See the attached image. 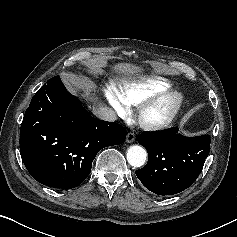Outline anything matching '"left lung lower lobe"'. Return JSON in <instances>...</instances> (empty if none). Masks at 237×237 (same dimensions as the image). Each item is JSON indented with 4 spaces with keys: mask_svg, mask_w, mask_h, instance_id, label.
<instances>
[{
    "mask_svg": "<svg viewBox=\"0 0 237 237\" xmlns=\"http://www.w3.org/2000/svg\"><path fill=\"white\" fill-rule=\"evenodd\" d=\"M138 142L148 152V163L136 171L142 184L158 195L187 189L199 176L210 152V137H185L173 127L144 132Z\"/></svg>",
    "mask_w": 237,
    "mask_h": 237,
    "instance_id": "1",
    "label": "left lung lower lobe"
}]
</instances>
